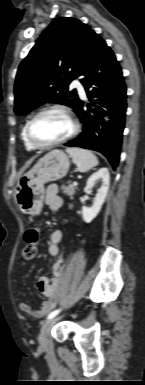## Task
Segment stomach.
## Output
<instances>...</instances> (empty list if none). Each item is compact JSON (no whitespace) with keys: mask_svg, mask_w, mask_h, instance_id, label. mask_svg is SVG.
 <instances>
[{"mask_svg":"<svg viewBox=\"0 0 145 385\" xmlns=\"http://www.w3.org/2000/svg\"><path fill=\"white\" fill-rule=\"evenodd\" d=\"M69 166V157L62 150H52L42 157L16 184L15 200L20 210L38 215L43 208L44 185L66 176Z\"/></svg>","mask_w":145,"mask_h":385,"instance_id":"stomach-1","label":"stomach"}]
</instances>
